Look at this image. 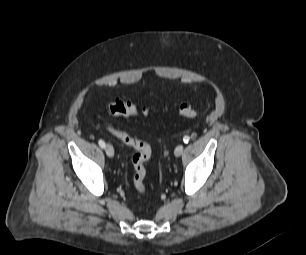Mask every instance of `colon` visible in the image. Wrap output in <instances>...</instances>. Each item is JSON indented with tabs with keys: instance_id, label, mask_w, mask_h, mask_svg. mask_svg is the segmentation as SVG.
<instances>
[{
	"instance_id": "1",
	"label": "colon",
	"mask_w": 306,
	"mask_h": 255,
	"mask_svg": "<svg viewBox=\"0 0 306 255\" xmlns=\"http://www.w3.org/2000/svg\"><path fill=\"white\" fill-rule=\"evenodd\" d=\"M177 110L179 115L186 119H193L197 115L195 108L187 103L180 104ZM108 111L111 115L117 117L145 116L148 113L146 108L137 107L132 102L123 99H116L110 102L108 105ZM106 128L112 136L134 149V154L132 156V164L134 168L133 184L139 193L144 194L146 192L145 163L151 156L150 146L146 142L134 138L127 132L114 126L107 125Z\"/></svg>"
}]
</instances>
